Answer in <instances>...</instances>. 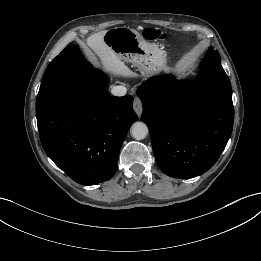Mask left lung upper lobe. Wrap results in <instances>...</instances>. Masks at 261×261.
I'll return each mask as SVG.
<instances>
[{
	"mask_svg": "<svg viewBox=\"0 0 261 261\" xmlns=\"http://www.w3.org/2000/svg\"><path fill=\"white\" fill-rule=\"evenodd\" d=\"M204 60H215L220 62V56L218 51H215L212 47L209 48L208 55L204 58Z\"/></svg>",
	"mask_w": 261,
	"mask_h": 261,
	"instance_id": "5c2ea615",
	"label": "left lung upper lobe"
}]
</instances>
